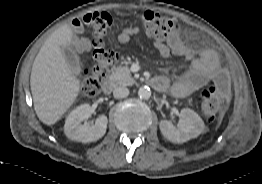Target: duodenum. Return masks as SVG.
Listing matches in <instances>:
<instances>
[{
	"instance_id": "1",
	"label": "duodenum",
	"mask_w": 262,
	"mask_h": 184,
	"mask_svg": "<svg viewBox=\"0 0 262 184\" xmlns=\"http://www.w3.org/2000/svg\"><path fill=\"white\" fill-rule=\"evenodd\" d=\"M149 83L150 85L155 88V89H158V86H159V82L157 80H155L154 78L153 79H150L149 80ZM113 89V82L112 80L108 79L106 80L103 84H102V91L105 93V94H109L111 93Z\"/></svg>"
}]
</instances>
